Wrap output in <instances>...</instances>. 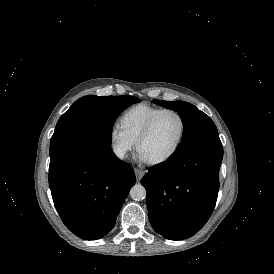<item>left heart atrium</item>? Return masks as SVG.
Listing matches in <instances>:
<instances>
[{"label": "left heart atrium", "instance_id": "1", "mask_svg": "<svg viewBox=\"0 0 274 274\" xmlns=\"http://www.w3.org/2000/svg\"><path fill=\"white\" fill-rule=\"evenodd\" d=\"M138 158H139V160L146 162L144 157L140 153H138Z\"/></svg>", "mask_w": 274, "mask_h": 274}]
</instances>
